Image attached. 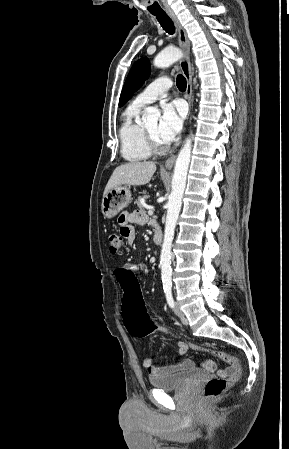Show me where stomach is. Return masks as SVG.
<instances>
[{
    "label": "stomach",
    "mask_w": 289,
    "mask_h": 449,
    "mask_svg": "<svg viewBox=\"0 0 289 449\" xmlns=\"http://www.w3.org/2000/svg\"><path fill=\"white\" fill-rule=\"evenodd\" d=\"M131 201L132 195L128 186L121 185L113 188L103 196L101 204L102 214L105 218H113L127 207Z\"/></svg>",
    "instance_id": "1"
}]
</instances>
